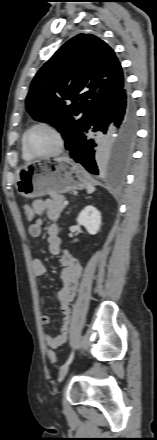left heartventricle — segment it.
<instances>
[{"label":"left heart ventricle","instance_id":"1","mask_svg":"<svg viewBox=\"0 0 157 440\" xmlns=\"http://www.w3.org/2000/svg\"><path fill=\"white\" fill-rule=\"evenodd\" d=\"M28 144L34 153L48 154L56 148L57 139L49 129L39 127L29 134Z\"/></svg>","mask_w":157,"mask_h":440}]
</instances>
